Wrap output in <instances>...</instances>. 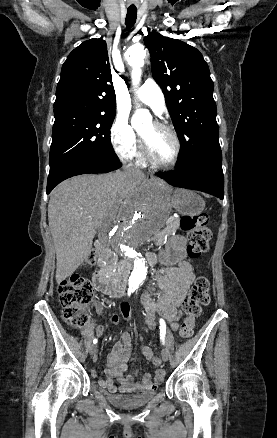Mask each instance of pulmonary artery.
<instances>
[{
  "label": "pulmonary artery",
  "instance_id": "pulmonary-artery-1",
  "mask_svg": "<svg viewBox=\"0 0 277 438\" xmlns=\"http://www.w3.org/2000/svg\"><path fill=\"white\" fill-rule=\"evenodd\" d=\"M156 79L153 76L148 77L143 83V88L135 91V99L151 107L158 115H161L165 109L164 90L162 87H155Z\"/></svg>",
  "mask_w": 277,
  "mask_h": 438
}]
</instances>
